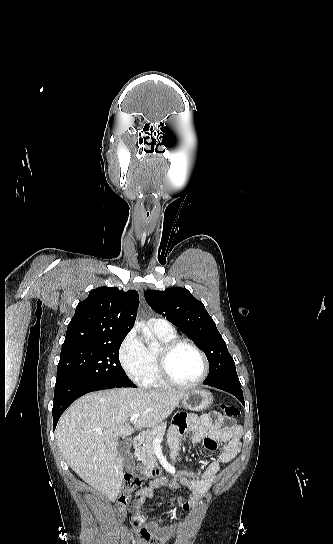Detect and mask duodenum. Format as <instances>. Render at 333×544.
I'll return each instance as SVG.
<instances>
[{"instance_id":"obj_1","label":"duodenum","mask_w":333,"mask_h":544,"mask_svg":"<svg viewBox=\"0 0 333 544\" xmlns=\"http://www.w3.org/2000/svg\"><path fill=\"white\" fill-rule=\"evenodd\" d=\"M144 441V436L142 434L138 435L133 442L134 448L138 449ZM142 472L147 476H159L161 473V470L158 468L153 469H144Z\"/></svg>"}]
</instances>
